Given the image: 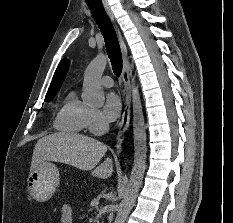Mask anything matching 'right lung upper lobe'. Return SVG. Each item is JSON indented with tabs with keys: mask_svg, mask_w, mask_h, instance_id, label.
Instances as JSON below:
<instances>
[{
	"mask_svg": "<svg viewBox=\"0 0 233 223\" xmlns=\"http://www.w3.org/2000/svg\"><path fill=\"white\" fill-rule=\"evenodd\" d=\"M68 66H69V61L67 59H63L60 62L59 66L55 71L51 86L46 94V99H45L46 101H51L58 92V90L60 89L61 84L64 81L65 75L68 71Z\"/></svg>",
	"mask_w": 233,
	"mask_h": 223,
	"instance_id": "obj_1",
	"label": "right lung upper lobe"
}]
</instances>
